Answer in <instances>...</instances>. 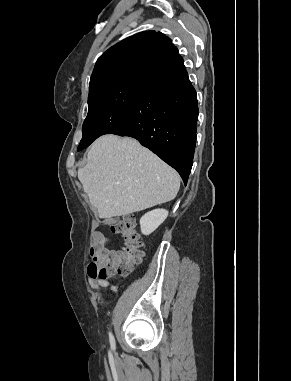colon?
<instances>
[{
    "label": "colon",
    "instance_id": "obj_1",
    "mask_svg": "<svg viewBox=\"0 0 291 381\" xmlns=\"http://www.w3.org/2000/svg\"><path fill=\"white\" fill-rule=\"evenodd\" d=\"M105 223L114 234L122 238V246L120 250H109L105 246L93 249L88 274L100 279L115 274L127 276L144 257L143 241L130 216L112 218Z\"/></svg>",
    "mask_w": 291,
    "mask_h": 381
}]
</instances>
